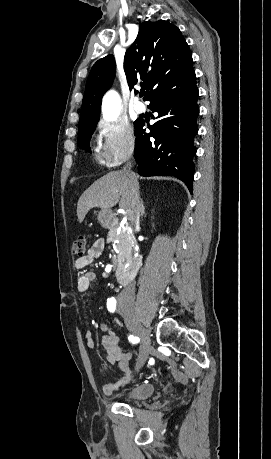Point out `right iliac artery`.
<instances>
[{
  "label": "right iliac artery",
  "instance_id": "1",
  "mask_svg": "<svg viewBox=\"0 0 271 459\" xmlns=\"http://www.w3.org/2000/svg\"><path fill=\"white\" fill-rule=\"evenodd\" d=\"M107 308L110 312H114L116 308V300L114 298H108L107 299ZM138 337H134L133 335H130L128 337V340L135 344L137 342Z\"/></svg>",
  "mask_w": 271,
  "mask_h": 459
}]
</instances>
